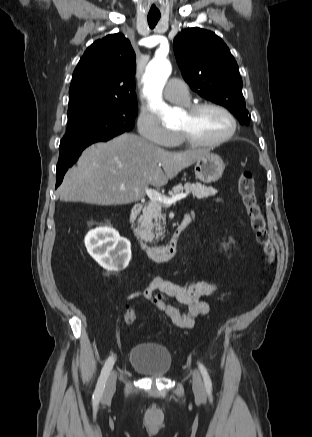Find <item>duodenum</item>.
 Masks as SVG:
<instances>
[{"mask_svg":"<svg viewBox=\"0 0 312 437\" xmlns=\"http://www.w3.org/2000/svg\"><path fill=\"white\" fill-rule=\"evenodd\" d=\"M143 209V205L141 203H136L127 219V230L130 234L131 239L134 241V243L137 245V247L146 254V256L158 263L169 261L177 252L180 244L181 236L183 235L186 228L191 223V217L187 214L184 216V218L181 220V222L178 224L175 232L173 233L170 241L167 244L164 245H152L144 240H142L136 233H135V223L138 217L140 216Z\"/></svg>","mask_w":312,"mask_h":437,"instance_id":"1","label":"duodenum"}]
</instances>
